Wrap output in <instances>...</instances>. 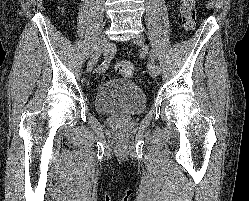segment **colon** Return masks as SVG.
<instances>
[{
  "mask_svg": "<svg viewBox=\"0 0 249 201\" xmlns=\"http://www.w3.org/2000/svg\"><path fill=\"white\" fill-rule=\"evenodd\" d=\"M180 15L182 27L186 32L192 31L196 26V0H181ZM116 72L123 77L131 78L135 73L133 63L121 61L116 65Z\"/></svg>",
  "mask_w": 249,
  "mask_h": 201,
  "instance_id": "5ec220e1",
  "label": "colon"
}]
</instances>
